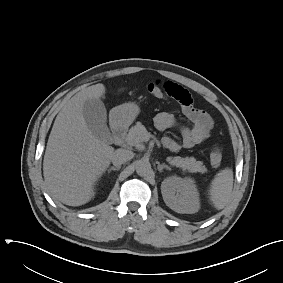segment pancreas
<instances>
[{
  "mask_svg": "<svg viewBox=\"0 0 283 283\" xmlns=\"http://www.w3.org/2000/svg\"><path fill=\"white\" fill-rule=\"evenodd\" d=\"M146 134L147 130L145 126L140 122H137V124L131 127L129 130V133L125 138V145L128 147H136L138 150H143ZM167 161L171 165L180 167L183 170H188L191 173H205L207 171L206 167L203 165V162L197 161L194 157H168Z\"/></svg>",
  "mask_w": 283,
  "mask_h": 283,
  "instance_id": "cf45deb5",
  "label": "pancreas"
}]
</instances>
